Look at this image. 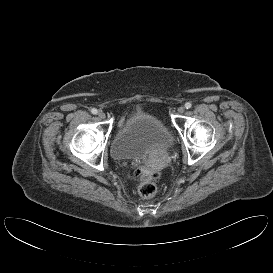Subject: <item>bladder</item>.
Segmentation results:
<instances>
[{
    "label": "bladder",
    "instance_id": "31cf9c89",
    "mask_svg": "<svg viewBox=\"0 0 273 273\" xmlns=\"http://www.w3.org/2000/svg\"><path fill=\"white\" fill-rule=\"evenodd\" d=\"M173 144L174 137L161 119L138 110L115 133L110 152L115 160H138Z\"/></svg>",
    "mask_w": 273,
    "mask_h": 273
}]
</instances>
